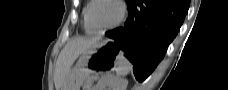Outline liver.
I'll return each mask as SVG.
<instances>
[{"label": "liver", "instance_id": "obj_1", "mask_svg": "<svg viewBox=\"0 0 228 90\" xmlns=\"http://www.w3.org/2000/svg\"><path fill=\"white\" fill-rule=\"evenodd\" d=\"M101 37L71 39L60 52L55 69L54 83L56 90H63L68 80V74L75 60L89 48L96 45Z\"/></svg>", "mask_w": 228, "mask_h": 90}]
</instances>
